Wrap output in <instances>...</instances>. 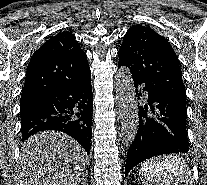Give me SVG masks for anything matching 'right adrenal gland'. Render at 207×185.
Returning <instances> with one entry per match:
<instances>
[{"label":"right adrenal gland","mask_w":207,"mask_h":185,"mask_svg":"<svg viewBox=\"0 0 207 185\" xmlns=\"http://www.w3.org/2000/svg\"><path fill=\"white\" fill-rule=\"evenodd\" d=\"M86 181H87V179H84V181H82V183H80V185H87Z\"/></svg>","instance_id":"right-adrenal-gland-1"}]
</instances>
